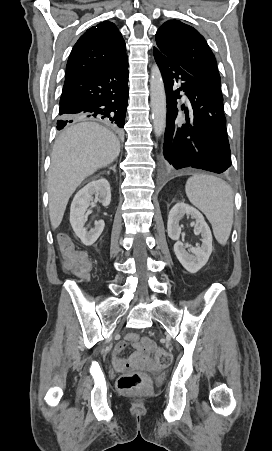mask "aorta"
<instances>
[{"mask_svg": "<svg viewBox=\"0 0 272 451\" xmlns=\"http://www.w3.org/2000/svg\"><path fill=\"white\" fill-rule=\"evenodd\" d=\"M150 106L154 132L159 138L166 128V94L163 78L157 64H153L150 76Z\"/></svg>", "mask_w": 272, "mask_h": 451, "instance_id": "1", "label": "aorta"}]
</instances>
